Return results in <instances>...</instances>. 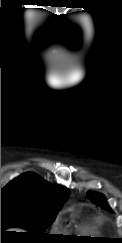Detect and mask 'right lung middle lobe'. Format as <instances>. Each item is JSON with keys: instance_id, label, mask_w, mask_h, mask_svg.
Returning <instances> with one entry per match:
<instances>
[{"instance_id": "right-lung-middle-lobe-1", "label": "right lung middle lobe", "mask_w": 122, "mask_h": 243, "mask_svg": "<svg viewBox=\"0 0 122 243\" xmlns=\"http://www.w3.org/2000/svg\"><path fill=\"white\" fill-rule=\"evenodd\" d=\"M61 207H42L18 199H1V233L10 227L26 229L33 237L49 238L44 232Z\"/></svg>"}]
</instances>
